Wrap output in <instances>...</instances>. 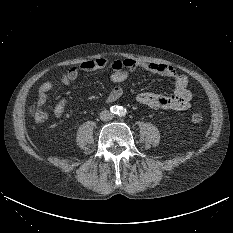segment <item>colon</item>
Wrapping results in <instances>:
<instances>
[{"mask_svg": "<svg viewBox=\"0 0 233 233\" xmlns=\"http://www.w3.org/2000/svg\"><path fill=\"white\" fill-rule=\"evenodd\" d=\"M34 120L37 122H41L46 117V112L44 109L35 110L33 113ZM190 119L193 123L199 124L203 121V116L200 113L194 112L191 114Z\"/></svg>", "mask_w": 233, "mask_h": 233, "instance_id": "5ec220e1", "label": "colon"}]
</instances>
